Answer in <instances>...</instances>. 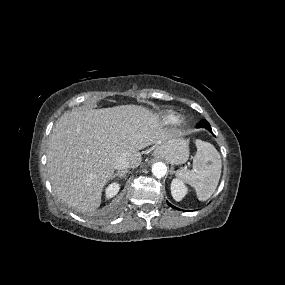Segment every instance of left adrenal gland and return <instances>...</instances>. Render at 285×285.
Instances as JSON below:
<instances>
[{"instance_id":"obj_1","label":"left adrenal gland","mask_w":285,"mask_h":285,"mask_svg":"<svg viewBox=\"0 0 285 285\" xmlns=\"http://www.w3.org/2000/svg\"><path fill=\"white\" fill-rule=\"evenodd\" d=\"M171 173H172V174L174 173V170H173V168L171 169Z\"/></svg>"}]
</instances>
